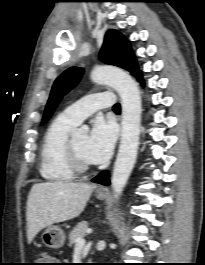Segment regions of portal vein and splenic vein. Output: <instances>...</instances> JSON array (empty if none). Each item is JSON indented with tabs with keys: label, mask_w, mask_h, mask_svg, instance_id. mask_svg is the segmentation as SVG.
<instances>
[{
	"label": "portal vein and splenic vein",
	"mask_w": 205,
	"mask_h": 265,
	"mask_svg": "<svg viewBox=\"0 0 205 265\" xmlns=\"http://www.w3.org/2000/svg\"><path fill=\"white\" fill-rule=\"evenodd\" d=\"M85 245V239L83 237H79L76 239V247H83Z\"/></svg>",
	"instance_id": "1"
}]
</instances>
